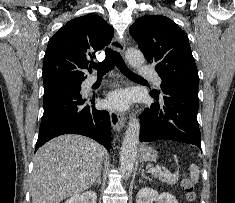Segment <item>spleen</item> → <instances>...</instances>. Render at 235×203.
I'll return each mask as SVG.
<instances>
[{
    "instance_id": "obj_1",
    "label": "spleen",
    "mask_w": 235,
    "mask_h": 203,
    "mask_svg": "<svg viewBox=\"0 0 235 203\" xmlns=\"http://www.w3.org/2000/svg\"><path fill=\"white\" fill-rule=\"evenodd\" d=\"M189 169H190V177H191V179L195 183H197L198 180H199V173H200L198 166L195 165V164H191Z\"/></svg>"
}]
</instances>
